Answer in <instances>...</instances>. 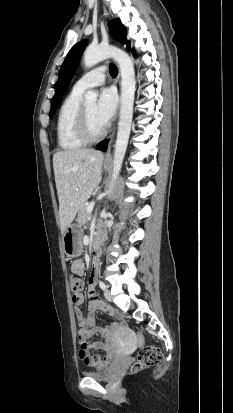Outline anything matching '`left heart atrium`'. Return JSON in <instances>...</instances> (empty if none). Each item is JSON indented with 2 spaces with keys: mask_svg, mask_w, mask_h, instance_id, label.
<instances>
[{
  "mask_svg": "<svg viewBox=\"0 0 233 413\" xmlns=\"http://www.w3.org/2000/svg\"><path fill=\"white\" fill-rule=\"evenodd\" d=\"M116 108L117 96L115 91L111 88L103 89L96 104V116L103 126H106L112 119Z\"/></svg>",
  "mask_w": 233,
  "mask_h": 413,
  "instance_id": "left-heart-atrium-1",
  "label": "left heart atrium"
}]
</instances>
